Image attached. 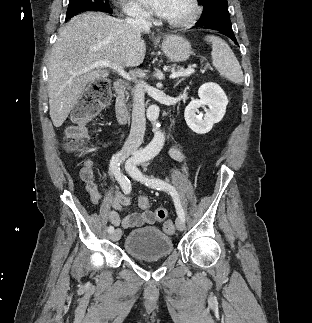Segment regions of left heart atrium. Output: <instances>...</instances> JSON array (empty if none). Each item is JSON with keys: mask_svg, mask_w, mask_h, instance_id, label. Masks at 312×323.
I'll list each match as a JSON object with an SVG mask.
<instances>
[{"mask_svg": "<svg viewBox=\"0 0 312 323\" xmlns=\"http://www.w3.org/2000/svg\"><path fill=\"white\" fill-rule=\"evenodd\" d=\"M143 8H155V12H171L170 0H138Z\"/></svg>", "mask_w": 312, "mask_h": 323, "instance_id": "left-heart-atrium-1", "label": "left heart atrium"}]
</instances>
